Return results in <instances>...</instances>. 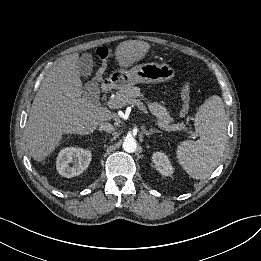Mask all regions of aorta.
<instances>
[{
    "mask_svg": "<svg viewBox=\"0 0 261 261\" xmlns=\"http://www.w3.org/2000/svg\"><path fill=\"white\" fill-rule=\"evenodd\" d=\"M123 149H124V151H126L128 153L135 152L137 149L136 140L132 137L125 138V140L123 142Z\"/></svg>",
    "mask_w": 261,
    "mask_h": 261,
    "instance_id": "762f6f07",
    "label": "aorta"
}]
</instances>
